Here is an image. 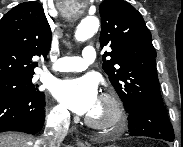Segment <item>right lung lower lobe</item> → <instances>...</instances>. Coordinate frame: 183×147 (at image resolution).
I'll return each instance as SVG.
<instances>
[{
    "label": "right lung lower lobe",
    "instance_id": "obj_1",
    "mask_svg": "<svg viewBox=\"0 0 183 147\" xmlns=\"http://www.w3.org/2000/svg\"><path fill=\"white\" fill-rule=\"evenodd\" d=\"M44 106L45 95L42 92L1 94L0 132L37 133L44 124Z\"/></svg>",
    "mask_w": 183,
    "mask_h": 147
}]
</instances>
